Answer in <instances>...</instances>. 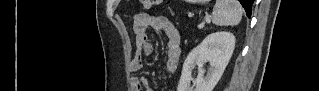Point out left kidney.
Wrapping results in <instances>:
<instances>
[{"label": "left kidney", "instance_id": "5707ae66", "mask_svg": "<svg viewBox=\"0 0 319 91\" xmlns=\"http://www.w3.org/2000/svg\"><path fill=\"white\" fill-rule=\"evenodd\" d=\"M235 47V36L229 32L209 34L187 56L177 91H212L220 80ZM208 61L211 65L204 76L203 64ZM198 66L199 74L191 86L192 72Z\"/></svg>", "mask_w": 319, "mask_h": 91}]
</instances>
